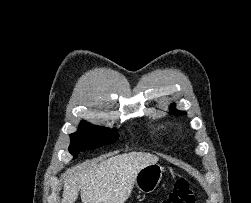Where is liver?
Here are the masks:
<instances>
[{"label":"liver","instance_id":"1","mask_svg":"<svg viewBox=\"0 0 251 203\" xmlns=\"http://www.w3.org/2000/svg\"><path fill=\"white\" fill-rule=\"evenodd\" d=\"M159 158L149 153L130 152L113 156L86 170H68L61 203H124L130 196L138 172Z\"/></svg>","mask_w":251,"mask_h":203}]
</instances>
